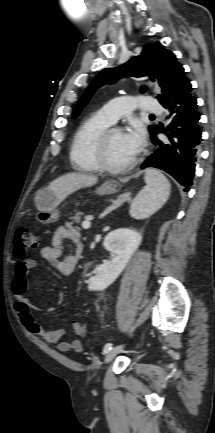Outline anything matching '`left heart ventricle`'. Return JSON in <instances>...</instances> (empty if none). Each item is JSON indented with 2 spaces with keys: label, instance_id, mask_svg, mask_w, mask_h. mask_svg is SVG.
Instances as JSON below:
<instances>
[{
  "label": "left heart ventricle",
  "instance_id": "1",
  "mask_svg": "<svg viewBox=\"0 0 215 433\" xmlns=\"http://www.w3.org/2000/svg\"><path fill=\"white\" fill-rule=\"evenodd\" d=\"M134 157L135 155L130 152L126 145L124 134L119 131H114L108 140V161L114 166H120L130 162Z\"/></svg>",
  "mask_w": 215,
  "mask_h": 433
}]
</instances>
